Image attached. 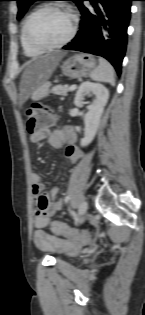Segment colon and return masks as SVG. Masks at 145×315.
Here are the masks:
<instances>
[{"label": "colon", "mask_w": 145, "mask_h": 315, "mask_svg": "<svg viewBox=\"0 0 145 315\" xmlns=\"http://www.w3.org/2000/svg\"><path fill=\"white\" fill-rule=\"evenodd\" d=\"M54 119L55 116L51 110L43 108L39 104H33L27 110L26 129L30 134L39 132L51 126ZM50 229L55 235L69 239L83 240L89 238L87 232L72 228L60 221H53Z\"/></svg>", "instance_id": "1"}]
</instances>
